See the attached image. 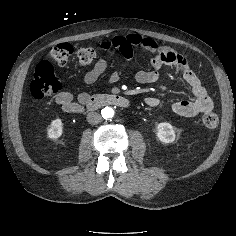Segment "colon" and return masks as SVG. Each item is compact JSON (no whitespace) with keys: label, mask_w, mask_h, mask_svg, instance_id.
<instances>
[{"label":"colon","mask_w":236,"mask_h":236,"mask_svg":"<svg viewBox=\"0 0 236 236\" xmlns=\"http://www.w3.org/2000/svg\"><path fill=\"white\" fill-rule=\"evenodd\" d=\"M73 52L74 48L71 44L61 43L51 47L49 55L55 63L64 65ZM76 56L82 66H88L94 61L96 51L92 47H80L76 50ZM60 88L61 82L54 72L53 64L50 61L39 63L30 84L31 95L36 99H42L57 93ZM202 122L205 127L214 129L219 125V117L213 112H207Z\"/></svg>","instance_id":"1"}]
</instances>
